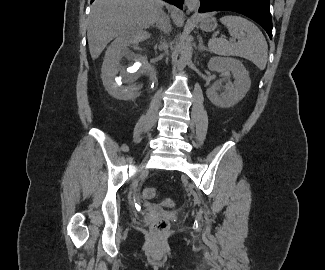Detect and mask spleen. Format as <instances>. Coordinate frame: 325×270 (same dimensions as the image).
Returning <instances> with one entry per match:
<instances>
[{"label":"spleen","instance_id":"3e777b00","mask_svg":"<svg viewBox=\"0 0 325 270\" xmlns=\"http://www.w3.org/2000/svg\"><path fill=\"white\" fill-rule=\"evenodd\" d=\"M229 34L238 42L223 38L210 39L209 50L221 56H238L253 62L264 70L268 58V45L260 29L251 21L236 15H227L220 19Z\"/></svg>","mask_w":325,"mask_h":270}]
</instances>
